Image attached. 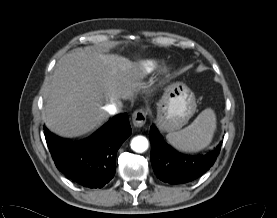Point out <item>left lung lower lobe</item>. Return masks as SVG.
Wrapping results in <instances>:
<instances>
[{
  "mask_svg": "<svg viewBox=\"0 0 277 218\" xmlns=\"http://www.w3.org/2000/svg\"><path fill=\"white\" fill-rule=\"evenodd\" d=\"M151 163L156 176L163 182L180 184L190 182L214 164L221 148V143L215 150L201 156H190L176 152L159 134L157 128H150Z\"/></svg>",
  "mask_w": 277,
  "mask_h": 218,
  "instance_id": "obj_1",
  "label": "left lung lower lobe"
}]
</instances>
